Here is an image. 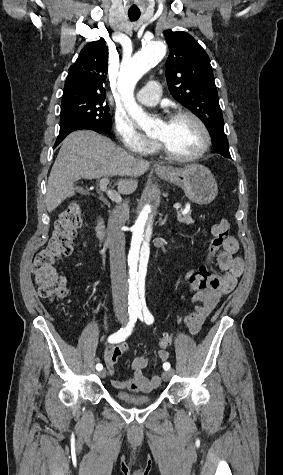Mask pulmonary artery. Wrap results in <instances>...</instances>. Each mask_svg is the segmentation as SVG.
<instances>
[{
    "mask_svg": "<svg viewBox=\"0 0 283 475\" xmlns=\"http://www.w3.org/2000/svg\"><path fill=\"white\" fill-rule=\"evenodd\" d=\"M161 81L149 80L148 83L138 91L137 100L144 104L154 105L161 98L160 93ZM117 90H134V89H117Z\"/></svg>",
    "mask_w": 283,
    "mask_h": 475,
    "instance_id": "pulmonary-artery-1",
    "label": "pulmonary artery"
}]
</instances>
